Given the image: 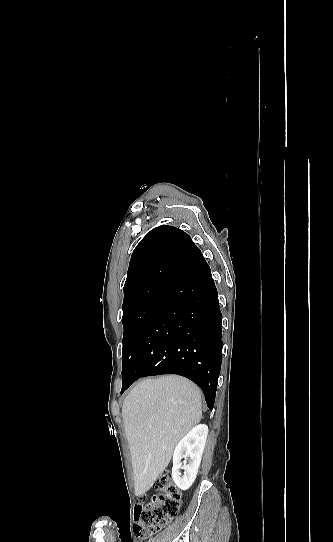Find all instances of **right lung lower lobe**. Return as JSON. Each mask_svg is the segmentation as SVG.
Returning <instances> with one entry per match:
<instances>
[{
    "label": "right lung lower lobe",
    "instance_id": "obj_1",
    "mask_svg": "<svg viewBox=\"0 0 333 542\" xmlns=\"http://www.w3.org/2000/svg\"><path fill=\"white\" fill-rule=\"evenodd\" d=\"M167 265L187 275L151 313L122 371L121 394L137 379L177 374L195 382L212 410L222 363L221 311L203 255L178 248L162 252Z\"/></svg>",
    "mask_w": 333,
    "mask_h": 542
}]
</instances>
